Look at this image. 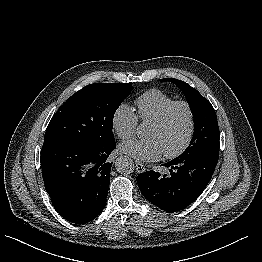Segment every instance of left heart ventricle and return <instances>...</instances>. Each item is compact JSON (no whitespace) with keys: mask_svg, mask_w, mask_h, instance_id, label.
Segmentation results:
<instances>
[{"mask_svg":"<svg viewBox=\"0 0 262 262\" xmlns=\"http://www.w3.org/2000/svg\"><path fill=\"white\" fill-rule=\"evenodd\" d=\"M188 129V111L184 106H178L172 111L165 125L158 127L151 124L146 136L156 139L163 153H170L182 145L187 136Z\"/></svg>","mask_w":262,"mask_h":262,"instance_id":"obj_1","label":"left heart ventricle"}]
</instances>
